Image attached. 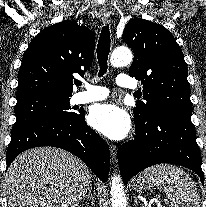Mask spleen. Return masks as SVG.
Instances as JSON below:
<instances>
[{
  "label": "spleen",
  "mask_w": 206,
  "mask_h": 207,
  "mask_svg": "<svg viewBox=\"0 0 206 207\" xmlns=\"http://www.w3.org/2000/svg\"><path fill=\"white\" fill-rule=\"evenodd\" d=\"M139 177L163 189L171 207H201L195 183L177 166L156 165L146 169Z\"/></svg>",
  "instance_id": "obj_1"
}]
</instances>
